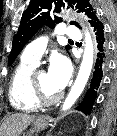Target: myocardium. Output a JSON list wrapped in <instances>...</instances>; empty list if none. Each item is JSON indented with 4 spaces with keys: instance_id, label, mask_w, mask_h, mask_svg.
<instances>
[{
    "instance_id": "obj_1",
    "label": "myocardium",
    "mask_w": 117,
    "mask_h": 136,
    "mask_svg": "<svg viewBox=\"0 0 117 136\" xmlns=\"http://www.w3.org/2000/svg\"><path fill=\"white\" fill-rule=\"evenodd\" d=\"M41 72H44V70L38 69V70L33 71L31 75V92H32L33 99L39 106H48V105H52V104L59 102L63 97L62 92H59L54 97H46L42 93L40 87L38 86V82H37V76Z\"/></svg>"
}]
</instances>
